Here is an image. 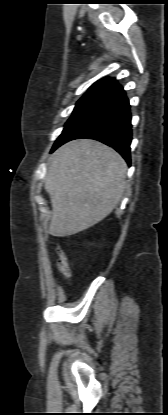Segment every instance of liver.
Wrapping results in <instances>:
<instances>
[{"label":"liver","mask_w":168,"mask_h":415,"mask_svg":"<svg viewBox=\"0 0 168 415\" xmlns=\"http://www.w3.org/2000/svg\"><path fill=\"white\" fill-rule=\"evenodd\" d=\"M126 173L121 155L98 141L74 140L56 150L44 184L52 205L49 234L74 235L107 217L122 197Z\"/></svg>","instance_id":"1"}]
</instances>
